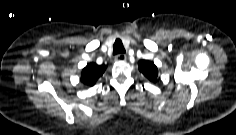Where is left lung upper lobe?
<instances>
[{"label": "left lung upper lobe", "mask_w": 236, "mask_h": 135, "mask_svg": "<svg viewBox=\"0 0 236 135\" xmlns=\"http://www.w3.org/2000/svg\"><path fill=\"white\" fill-rule=\"evenodd\" d=\"M139 70L150 80L155 81L158 76V69L156 65L147 60H140L138 62Z\"/></svg>", "instance_id": "5c2ea615"}]
</instances>
